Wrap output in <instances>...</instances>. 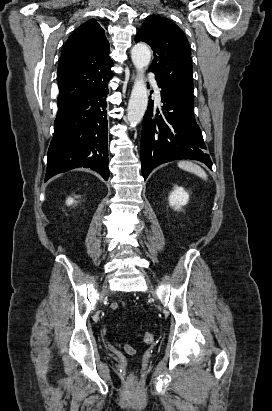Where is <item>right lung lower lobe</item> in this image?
Here are the masks:
<instances>
[{
	"label": "right lung lower lobe",
	"instance_id": "obj_1",
	"mask_svg": "<svg viewBox=\"0 0 272 411\" xmlns=\"http://www.w3.org/2000/svg\"><path fill=\"white\" fill-rule=\"evenodd\" d=\"M108 82L58 104L45 181L76 167L91 168L108 180Z\"/></svg>",
	"mask_w": 272,
	"mask_h": 411
}]
</instances>
